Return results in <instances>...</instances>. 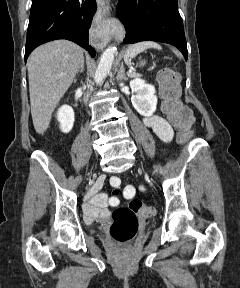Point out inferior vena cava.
Listing matches in <instances>:
<instances>
[{
  "mask_svg": "<svg viewBox=\"0 0 240 288\" xmlns=\"http://www.w3.org/2000/svg\"><path fill=\"white\" fill-rule=\"evenodd\" d=\"M87 100H88V95L86 94L84 97V101H87Z\"/></svg>",
  "mask_w": 240,
  "mask_h": 288,
  "instance_id": "inferior-vena-cava-1",
  "label": "inferior vena cava"
}]
</instances>
